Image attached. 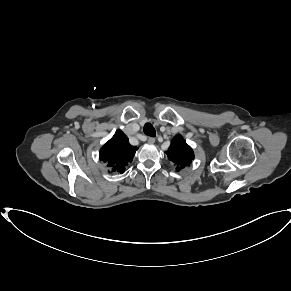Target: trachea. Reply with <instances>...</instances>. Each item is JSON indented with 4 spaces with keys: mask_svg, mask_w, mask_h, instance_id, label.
Wrapping results in <instances>:
<instances>
[{
    "mask_svg": "<svg viewBox=\"0 0 291 291\" xmlns=\"http://www.w3.org/2000/svg\"><path fill=\"white\" fill-rule=\"evenodd\" d=\"M144 133L148 136L155 137L156 131L150 123L145 124Z\"/></svg>",
    "mask_w": 291,
    "mask_h": 291,
    "instance_id": "trachea-1",
    "label": "trachea"
}]
</instances>
